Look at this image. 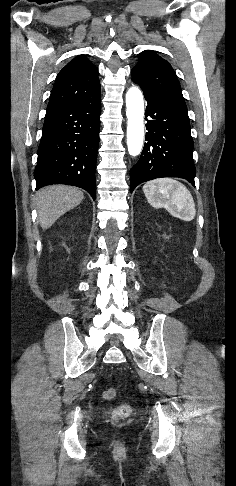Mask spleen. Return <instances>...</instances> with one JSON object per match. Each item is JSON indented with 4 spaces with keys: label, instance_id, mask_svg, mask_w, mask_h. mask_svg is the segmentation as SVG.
<instances>
[{
    "label": "spleen",
    "instance_id": "1",
    "mask_svg": "<svg viewBox=\"0 0 236 486\" xmlns=\"http://www.w3.org/2000/svg\"><path fill=\"white\" fill-rule=\"evenodd\" d=\"M143 192L153 207H164L184 221H191L195 217V203L190 191L174 179L161 178L147 182Z\"/></svg>",
    "mask_w": 236,
    "mask_h": 486
}]
</instances>
